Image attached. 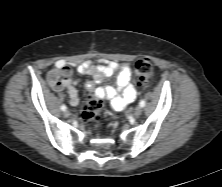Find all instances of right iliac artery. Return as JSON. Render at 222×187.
Segmentation results:
<instances>
[{"label": "right iliac artery", "instance_id": "right-iliac-artery-1", "mask_svg": "<svg viewBox=\"0 0 222 187\" xmlns=\"http://www.w3.org/2000/svg\"><path fill=\"white\" fill-rule=\"evenodd\" d=\"M66 109H67V107H66L65 105H62V106H61V110H62V111H65Z\"/></svg>", "mask_w": 222, "mask_h": 187}]
</instances>
